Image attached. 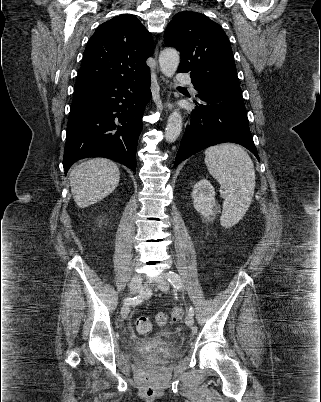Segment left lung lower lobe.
Returning <instances> with one entry per match:
<instances>
[{"mask_svg": "<svg viewBox=\"0 0 321 402\" xmlns=\"http://www.w3.org/2000/svg\"><path fill=\"white\" fill-rule=\"evenodd\" d=\"M197 96L194 120L185 130L174 167L196 152L224 142L246 147L259 160L240 86L211 85L199 89Z\"/></svg>", "mask_w": 321, "mask_h": 402, "instance_id": "0a47b994", "label": "left lung lower lobe"}]
</instances>
